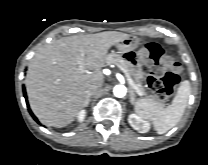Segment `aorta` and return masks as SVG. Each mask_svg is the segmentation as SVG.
<instances>
[{"label": "aorta", "instance_id": "obj_1", "mask_svg": "<svg viewBox=\"0 0 208 165\" xmlns=\"http://www.w3.org/2000/svg\"><path fill=\"white\" fill-rule=\"evenodd\" d=\"M127 89L124 85L119 84L113 88V93L116 97L122 98L126 95Z\"/></svg>", "mask_w": 208, "mask_h": 165}]
</instances>
